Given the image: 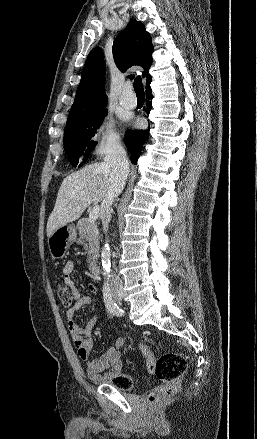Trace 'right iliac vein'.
I'll return each mask as SVG.
<instances>
[{"instance_id":"63e3f726","label":"right iliac vein","mask_w":257,"mask_h":439,"mask_svg":"<svg viewBox=\"0 0 257 439\" xmlns=\"http://www.w3.org/2000/svg\"><path fill=\"white\" fill-rule=\"evenodd\" d=\"M114 297L118 300H121L123 298V293L122 292H116L114 293Z\"/></svg>"}]
</instances>
